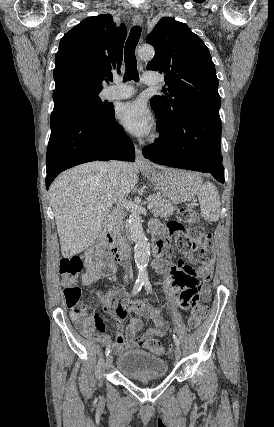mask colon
Here are the masks:
<instances>
[{
    "label": "colon",
    "mask_w": 274,
    "mask_h": 427,
    "mask_svg": "<svg viewBox=\"0 0 274 427\" xmlns=\"http://www.w3.org/2000/svg\"><path fill=\"white\" fill-rule=\"evenodd\" d=\"M178 222L173 224V233L175 246L173 248H190L191 242L198 240L201 243L200 248H214L212 237L208 231L197 225L199 221L196 210L190 206L182 207L177 213ZM188 225V228L184 227ZM172 253V249L168 251ZM83 267V259L80 254L63 256L59 260V274L63 278V297L65 305L68 309L78 311L85 296L78 285V275ZM96 295H100L101 291L97 290ZM192 319L189 322L190 329L200 330L202 322L199 318H207L208 310L205 305L192 307ZM141 350H149L155 352L160 359H169L170 351L163 347L159 340L147 338L140 342Z\"/></svg>",
    "instance_id": "obj_1"
}]
</instances>
